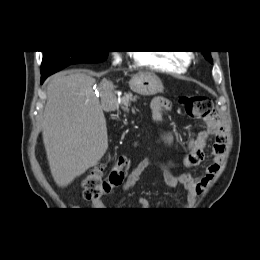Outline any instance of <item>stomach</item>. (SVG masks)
Here are the masks:
<instances>
[{
    "label": "stomach",
    "mask_w": 260,
    "mask_h": 260,
    "mask_svg": "<svg viewBox=\"0 0 260 260\" xmlns=\"http://www.w3.org/2000/svg\"><path fill=\"white\" fill-rule=\"evenodd\" d=\"M129 84L132 91L143 96L156 95L164 89L162 81L153 73H138Z\"/></svg>",
    "instance_id": "0dacf381"
}]
</instances>
